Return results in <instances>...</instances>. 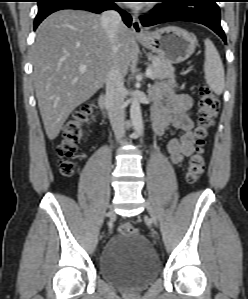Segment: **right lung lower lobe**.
I'll return each mask as SVG.
<instances>
[{
    "mask_svg": "<svg viewBox=\"0 0 248 299\" xmlns=\"http://www.w3.org/2000/svg\"><path fill=\"white\" fill-rule=\"evenodd\" d=\"M115 1L117 0H38L39 10L34 21V29L48 15L62 9L87 10L93 13H101L111 9L117 10L121 14L124 23L130 27L132 23L131 16L117 7Z\"/></svg>",
    "mask_w": 248,
    "mask_h": 299,
    "instance_id": "obj_1",
    "label": "right lung lower lobe"
}]
</instances>
